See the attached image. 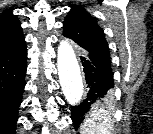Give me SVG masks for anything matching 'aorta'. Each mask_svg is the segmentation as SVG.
I'll list each match as a JSON object with an SVG mask.
<instances>
[{
  "instance_id": "1",
  "label": "aorta",
  "mask_w": 153,
  "mask_h": 134,
  "mask_svg": "<svg viewBox=\"0 0 153 134\" xmlns=\"http://www.w3.org/2000/svg\"><path fill=\"white\" fill-rule=\"evenodd\" d=\"M57 68L59 82L66 100L70 104L79 103L84 93V85L75 52L67 41L59 44Z\"/></svg>"
}]
</instances>
